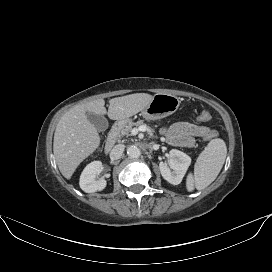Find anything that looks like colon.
I'll return each instance as SVG.
<instances>
[{
    "instance_id": "1",
    "label": "colon",
    "mask_w": 272,
    "mask_h": 272,
    "mask_svg": "<svg viewBox=\"0 0 272 272\" xmlns=\"http://www.w3.org/2000/svg\"><path fill=\"white\" fill-rule=\"evenodd\" d=\"M209 120H210V115L206 111H202L197 117V121L201 122V123H205V122H207ZM215 136H216V133L214 131L209 130V132L205 135L204 138L206 140H210V139L214 138Z\"/></svg>"
}]
</instances>
